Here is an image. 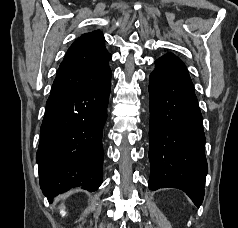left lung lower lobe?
Listing matches in <instances>:
<instances>
[{"label":"left lung lower lobe","mask_w":238,"mask_h":228,"mask_svg":"<svg viewBox=\"0 0 238 228\" xmlns=\"http://www.w3.org/2000/svg\"><path fill=\"white\" fill-rule=\"evenodd\" d=\"M155 65L149 78V189H181L199 207L208 168L194 86L174 54H165Z\"/></svg>","instance_id":"0a47b994"}]
</instances>
